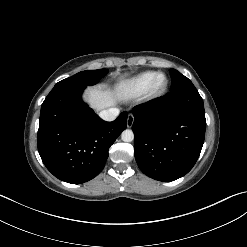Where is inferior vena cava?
I'll return each mask as SVG.
<instances>
[{
	"instance_id": "602c4592",
	"label": "inferior vena cava",
	"mask_w": 247,
	"mask_h": 247,
	"mask_svg": "<svg viewBox=\"0 0 247 247\" xmlns=\"http://www.w3.org/2000/svg\"><path fill=\"white\" fill-rule=\"evenodd\" d=\"M119 115V109L117 108H109L107 110H102L99 113L101 119L105 121H113Z\"/></svg>"
}]
</instances>
